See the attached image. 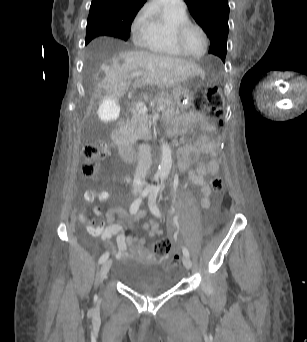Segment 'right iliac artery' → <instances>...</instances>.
<instances>
[{
	"label": "right iliac artery",
	"instance_id": "82829eb1",
	"mask_svg": "<svg viewBox=\"0 0 307 342\" xmlns=\"http://www.w3.org/2000/svg\"><path fill=\"white\" fill-rule=\"evenodd\" d=\"M150 192H151V187H146L143 191H142V193H141V195L131 204V206H130V213L131 214H136L137 213V211L139 210V207H140V204H141V202H142V200L147 196V195H149L150 194ZM108 257H109V252H106V253H104L101 257H100V259H99V264H102L103 262H105L107 259H108Z\"/></svg>",
	"mask_w": 307,
	"mask_h": 342
}]
</instances>
